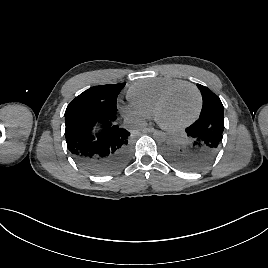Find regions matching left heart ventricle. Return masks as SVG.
I'll return each mask as SVG.
<instances>
[{
  "label": "left heart ventricle",
  "instance_id": "obj_1",
  "mask_svg": "<svg viewBox=\"0 0 268 268\" xmlns=\"http://www.w3.org/2000/svg\"><path fill=\"white\" fill-rule=\"evenodd\" d=\"M197 104V95L194 90L183 87L163 105L159 113L160 120L170 126L179 125L194 115Z\"/></svg>",
  "mask_w": 268,
  "mask_h": 268
}]
</instances>
